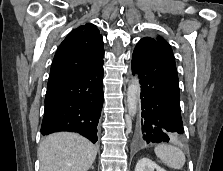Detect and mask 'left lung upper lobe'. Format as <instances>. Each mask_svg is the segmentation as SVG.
Listing matches in <instances>:
<instances>
[{
    "label": "left lung upper lobe",
    "instance_id": "1",
    "mask_svg": "<svg viewBox=\"0 0 223 171\" xmlns=\"http://www.w3.org/2000/svg\"><path fill=\"white\" fill-rule=\"evenodd\" d=\"M140 41L152 42V43L159 45L174 59L173 52H172L170 45L162 38L159 37L157 39H154V38H150V37H145V38H142Z\"/></svg>",
    "mask_w": 223,
    "mask_h": 171
}]
</instances>
